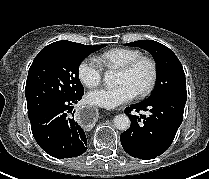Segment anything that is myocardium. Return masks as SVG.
Instances as JSON below:
<instances>
[{"instance_id": "1", "label": "myocardium", "mask_w": 209, "mask_h": 179, "mask_svg": "<svg viewBox=\"0 0 209 179\" xmlns=\"http://www.w3.org/2000/svg\"><path fill=\"white\" fill-rule=\"evenodd\" d=\"M142 63H147L150 66L151 77L146 87L136 93V96L139 98L149 95L156 86L158 79V67L156 61L148 56H140L119 69V72L130 74Z\"/></svg>"}]
</instances>
